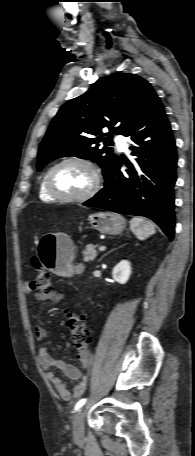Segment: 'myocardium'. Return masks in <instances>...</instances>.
Returning <instances> with one entry per match:
<instances>
[{
	"label": "myocardium",
	"mask_w": 195,
	"mask_h": 456,
	"mask_svg": "<svg viewBox=\"0 0 195 456\" xmlns=\"http://www.w3.org/2000/svg\"><path fill=\"white\" fill-rule=\"evenodd\" d=\"M67 163H79L89 168L92 173L93 182L87 192L78 196H67L57 192L51 182L53 172L60 166ZM101 185V175L97 166L89 159L83 157H68L54 164L44 176V186L47 193L55 200L62 202H85L96 195Z\"/></svg>",
	"instance_id": "myocardium-1"
}]
</instances>
